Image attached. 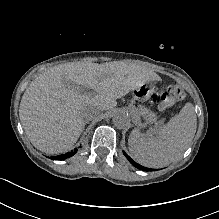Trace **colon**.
Instances as JSON below:
<instances>
[{
  "instance_id": "5ec220e1",
  "label": "colon",
  "mask_w": 219,
  "mask_h": 219,
  "mask_svg": "<svg viewBox=\"0 0 219 219\" xmlns=\"http://www.w3.org/2000/svg\"><path fill=\"white\" fill-rule=\"evenodd\" d=\"M184 97L185 91L180 85H171L160 93V109L166 110L172 107L175 102L182 100Z\"/></svg>"
}]
</instances>
